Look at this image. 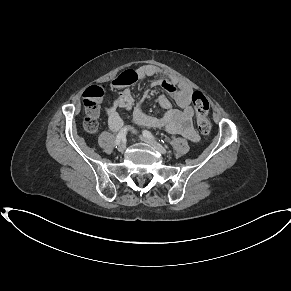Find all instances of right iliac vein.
Wrapping results in <instances>:
<instances>
[{
    "label": "right iliac vein",
    "mask_w": 291,
    "mask_h": 291,
    "mask_svg": "<svg viewBox=\"0 0 291 291\" xmlns=\"http://www.w3.org/2000/svg\"><path fill=\"white\" fill-rule=\"evenodd\" d=\"M126 149V144L124 142H120L118 144V151L123 152Z\"/></svg>",
    "instance_id": "1"
}]
</instances>
